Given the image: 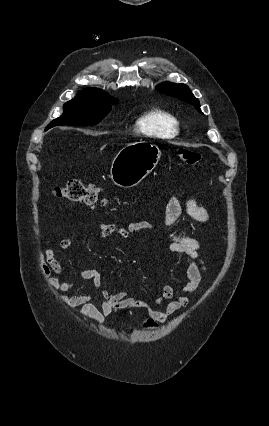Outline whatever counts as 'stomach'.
Masks as SVG:
<instances>
[{
  "label": "stomach",
  "mask_w": 269,
  "mask_h": 426,
  "mask_svg": "<svg viewBox=\"0 0 269 426\" xmlns=\"http://www.w3.org/2000/svg\"><path fill=\"white\" fill-rule=\"evenodd\" d=\"M160 157V149L152 143H131L121 149L113 159L110 177L119 187H134L156 167Z\"/></svg>",
  "instance_id": "stomach-1"
}]
</instances>
